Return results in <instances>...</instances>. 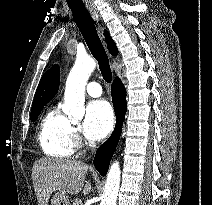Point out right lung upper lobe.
Listing matches in <instances>:
<instances>
[{
    "mask_svg": "<svg viewBox=\"0 0 212 205\" xmlns=\"http://www.w3.org/2000/svg\"><path fill=\"white\" fill-rule=\"evenodd\" d=\"M107 48L110 54L117 55L118 49L115 42L110 37L109 33L104 31ZM60 83L59 66L54 65L41 78L38 88L35 93L32 107L46 105L57 93Z\"/></svg>",
    "mask_w": 212,
    "mask_h": 205,
    "instance_id": "1",
    "label": "right lung upper lobe"
}]
</instances>
